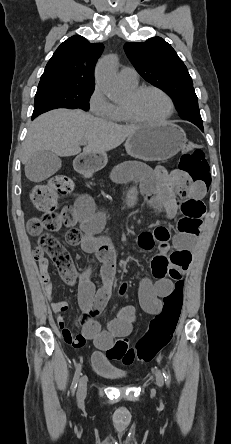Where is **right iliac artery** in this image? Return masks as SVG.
<instances>
[{
    "label": "right iliac artery",
    "instance_id": "1",
    "mask_svg": "<svg viewBox=\"0 0 231 444\" xmlns=\"http://www.w3.org/2000/svg\"><path fill=\"white\" fill-rule=\"evenodd\" d=\"M80 374H81V365H79V366L77 367L76 372H75V375H74V378H73V382H72V385H71V389H72V392H73V393H74V391H75V389H76V387H77V383H78V380H79Z\"/></svg>",
    "mask_w": 231,
    "mask_h": 444
}]
</instances>
